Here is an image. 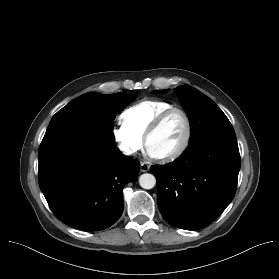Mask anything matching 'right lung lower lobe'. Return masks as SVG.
I'll return each mask as SVG.
<instances>
[{
    "mask_svg": "<svg viewBox=\"0 0 279 279\" xmlns=\"http://www.w3.org/2000/svg\"><path fill=\"white\" fill-rule=\"evenodd\" d=\"M39 186L56 217L76 229L113 225L123 211L122 190L140 164L82 129L45 135L39 148Z\"/></svg>",
    "mask_w": 279,
    "mask_h": 279,
    "instance_id": "obj_1",
    "label": "right lung lower lobe"
}]
</instances>
